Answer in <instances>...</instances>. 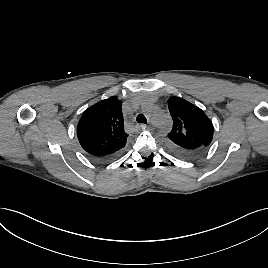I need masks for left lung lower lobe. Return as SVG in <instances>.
Here are the masks:
<instances>
[{
  "label": "left lung lower lobe",
  "instance_id": "left-lung-lower-lobe-1",
  "mask_svg": "<svg viewBox=\"0 0 268 268\" xmlns=\"http://www.w3.org/2000/svg\"><path fill=\"white\" fill-rule=\"evenodd\" d=\"M166 145L173 155L185 160L197 159L207 151V148L200 146L198 143L185 145L186 148L179 147L168 141H166Z\"/></svg>",
  "mask_w": 268,
  "mask_h": 268
}]
</instances>
